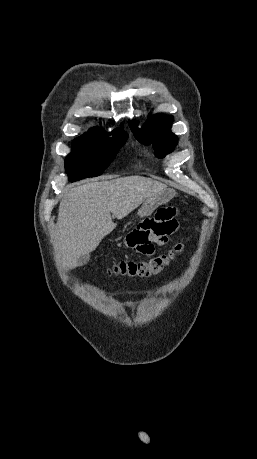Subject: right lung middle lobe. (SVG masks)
Returning a JSON list of instances; mask_svg holds the SVG:
<instances>
[{
	"instance_id": "obj_1",
	"label": "right lung middle lobe",
	"mask_w": 257,
	"mask_h": 459,
	"mask_svg": "<svg viewBox=\"0 0 257 459\" xmlns=\"http://www.w3.org/2000/svg\"><path fill=\"white\" fill-rule=\"evenodd\" d=\"M113 133V138H108L107 133L89 132L74 140L65 162L71 182L103 173L128 138L125 132Z\"/></svg>"
}]
</instances>
